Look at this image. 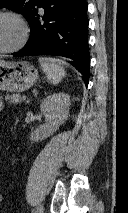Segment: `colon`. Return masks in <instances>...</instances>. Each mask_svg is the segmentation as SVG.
Wrapping results in <instances>:
<instances>
[{
  "mask_svg": "<svg viewBox=\"0 0 128 213\" xmlns=\"http://www.w3.org/2000/svg\"><path fill=\"white\" fill-rule=\"evenodd\" d=\"M1 199H2V196L0 195V201H1Z\"/></svg>",
  "mask_w": 128,
  "mask_h": 213,
  "instance_id": "colon-1",
  "label": "colon"
}]
</instances>
